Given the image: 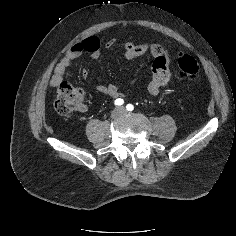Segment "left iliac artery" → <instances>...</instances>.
<instances>
[{
    "label": "left iliac artery",
    "mask_w": 236,
    "mask_h": 236,
    "mask_svg": "<svg viewBox=\"0 0 236 236\" xmlns=\"http://www.w3.org/2000/svg\"><path fill=\"white\" fill-rule=\"evenodd\" d=\"M126 109L128 111H132L134 109V106L132 104H127Z\"/></svg>",
    "instance_id": "left-iliac-artery-1"
}]
</instances>
